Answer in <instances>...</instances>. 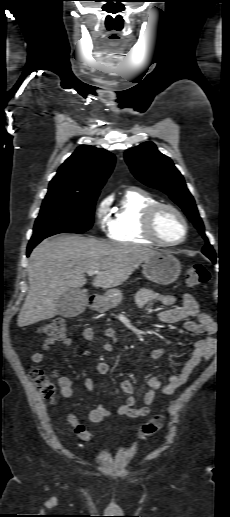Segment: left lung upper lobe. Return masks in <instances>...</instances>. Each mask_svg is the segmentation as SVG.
I'll list each match as a JSON object with an SVG mask.
<instances>
[{
  "label": "left lung upper lobe",
  "instance_id": "left-lung-upper-lobe-1",
  "mask_svg": "<svg viewBox=\"0 0 230 517\" xmlns=\"http://www.w3.org/2000/svg\"><path fill=\"white\" fill-rule=\"evenodd\" d=\"M133 175L145 185L166 193L178 204L206 240L202 252L215 262V252L204 233L203 222L183 176L172 160L159 152L152 142H145L125 152Z\"/></svg>",
  "mask_w": 230,
  "mask_h": 517
}]
</instances>
